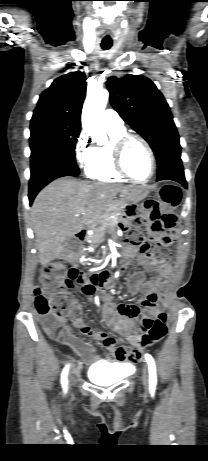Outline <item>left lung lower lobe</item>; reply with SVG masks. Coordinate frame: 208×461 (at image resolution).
Returning a JSON list of instances; mask_svg holds the SVG:
<instances>
[{
    "mask_svg": "<svg viewBox=\"0 0 208 461\" xmlns=\"http://www.w3.org/2000/svg\"><path fill=\"white\" fill-rule=\"evenodd\" d=\"M160 180H174L182 184L185 188L187 187V182L185 180L183 166L181 163L174 164L163 173L157 175V181Z\"/></svg>",
    "mask_w": 208,
    "mask_h": 461,
    "instance_id": "obj_1",
    "label": "left lung lower lobe"
}]
</instances>
